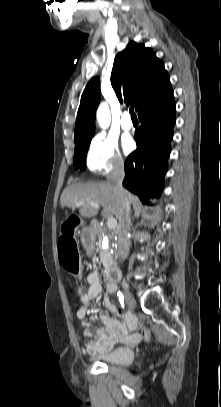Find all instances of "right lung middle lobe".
Returning a JSON list of instances; mask_svg holds the SVG:
<instances>
[{
  "label": "right lung middle lobe",
  "mask_w": 221,
  "mask_h": 407,
  "mask_svg": "<svg viewBox=\"0 0 221 407\" xmlns=\"http://www.w3.org/2000/svg\"><path fill=\"white\" fill-rule=\"evenodd\" d=\"M90 141L86 140L75 144V153H74V167L84 169L86 166V153L88 151Z\"/></svg>",
  "instance_id": "right-lung-middle-lobe-1"
}]
</instances>
